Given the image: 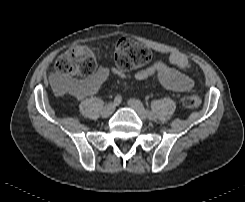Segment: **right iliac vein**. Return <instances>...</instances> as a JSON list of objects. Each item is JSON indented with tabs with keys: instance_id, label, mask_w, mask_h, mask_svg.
I'll list each match as a JSON object with an SVG mask.
<instances>
[{
	"instance_id": "right-iliac-vein-1",
	"label": "right iliac vein",
	"mask_w": 245,
	"mask_h": 202,
	"mask_svg": "<svg viewBox=\"0 0 245 202\" xmlns=\"http://www.w3.org/2000/svg\"><path fill=\"white\" fill-rule=\"evenodd\" d=\"M116 104L115 103H109L107 104L101 111V116L103 118L109 117L115 110Z\"/></svg>"
}]
</instances>
